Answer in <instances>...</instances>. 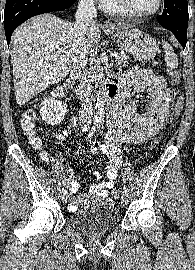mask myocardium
<instances>
[{
    "label": "myocardium",
    "mask_w": 195,
    "mask_h": 270,
    "mask_svg": "<svg viewBox=\"0 0 195 270\" xmlns=\"http://www.w3.org/2000/svg\"><path fill=\"white\" fill-rule=\"evenodd\" d=\"M119 1L121 5L125 8V10L135 18H149L151 16H154L161 10L163 6V0H157V5L153 10L149 12H137L131 7L128 0H119Z\"/></svg>",
    "instance_id": "myocardium-1"
}]
</instances>
